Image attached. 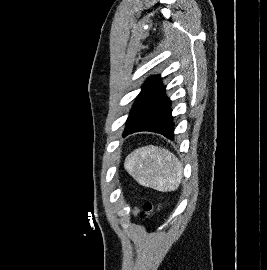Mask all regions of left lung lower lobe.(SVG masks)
I'll list each match as a JSON object with an SVG mask.
<instances>
[{"mask_svg":"<svg viewBox=\"0 0 267 270\" xmlns=\"http://www.w3.org/2000/svg\"><path fill=\"white\" fill-rule=\"evenodd\" d=\"M171 112V101L166 96L164 90L160 97L143 113L136 123L123 133V137L134 132L149 131L173 139L174 123Z\"/></svg>","mask_w":267,"mask_h":270,"instance_id":"left-lung-lower-lobe-1","label":"left lung lower lobe"}]
</instances>
